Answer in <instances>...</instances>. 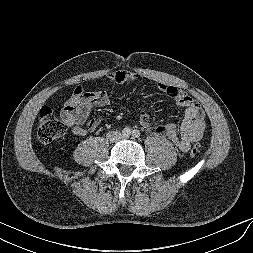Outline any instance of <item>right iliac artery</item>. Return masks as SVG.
<instances>
[{"label": "right iliac artery", "instance_id": "1", "mask_svg": "<svg viewBox=\"0 0 253 253\" xmlns=\"http://www.w3.org/2000/svg\"><path fill=\"white\" fill-rule=\"evenodd\" d=\"M122 134L124 136H129L131 134L130 128L129 127L124 128L123 131H122Z\"/></svg>", "mask_w": 253, "mask_h": 253}]
</instances>
